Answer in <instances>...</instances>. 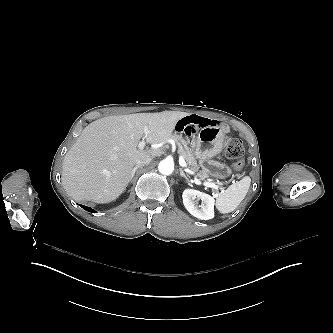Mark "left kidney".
<instances>
[{
	"mask_svg": "<svg viewBox=\"0 0 333 333\" xmlns=\"http://www.w3.org/2000/svg\"><path fill=\"white\" fill-rule=\"evenodd\" d=\"M202 201L198 207L195 199ZM183 204L187 211L196 218L209 220L214 218V198L206 193L194 189H185L182 194Z\"/></svg>",
	"mask_w": 333,
	"mask_h": 333,
	"instance_id": "5707ae66",
	"label": "left kidney"
}]
</instances>
